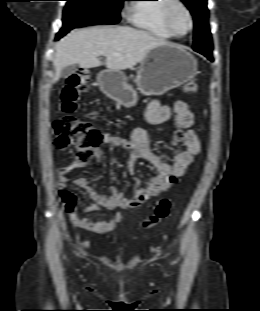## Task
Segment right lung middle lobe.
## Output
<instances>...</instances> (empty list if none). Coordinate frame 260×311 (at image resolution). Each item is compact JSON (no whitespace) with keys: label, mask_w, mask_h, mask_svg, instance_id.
<instances>
[{"label":"right lung middle lobe","mask_w":260,"mask_h":311,"mask_svg":"<svg viewBox=\"0 0 260 311\" xmlns=\"http://www.w3.org/2000/svg\"><path fill=\"white\" fill-rule=\"evenodd\" d=\"M63 26L60 31L120 21V9L126 0H66Z\"/></svg>","instance_id":"obj_1"}]
</instances>
